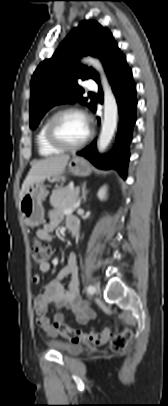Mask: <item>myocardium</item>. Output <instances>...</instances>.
<instances>
[{
	"mask_svg": "<svg viewBox=\"0 0 168 406\" xmlns=\"http://www.w3.org/2000/svg\"><path fill=\"white\" fill-rule=\"evenodd\" d=\"M68 113L80 114L87 121V116H86L85 112L77 107L63 108L51 116V118L48 120V123L46 126V139L49 142V144H51L52 146H54L56 148L62 149V150L78 149V148L82 147L83 145H85L92 136V130H91V128H89V131H88V134L86 135V137L77 143L69 144V143H65L62 140H60L56 134L55 126H56L57 121L60 119V117H62L65 114H68Z\"/></svg>",
	"mask_w": 168,
	"mask_h": 406,
	"instance_id": "1",
	"label": "myocardium"
}]
</instances>
